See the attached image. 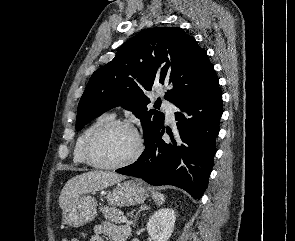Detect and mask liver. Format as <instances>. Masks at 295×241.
Returning <instances> with one entry per match:
<instances>
[{
	"label": "liver",
	"mask_w": 295,
	"mask_h": 241,
	"mask_svg": "<svg viewBox=\"0 0 295 241\" xmlns=\"http://www.w3.org/2000/svg\"><path fill=\"white\" fill-rule=\"evenodd\" d=\"M125 179L112 172L92 171L77 175L66 182L59 196V206L65 209L82 195L103 190Z\"/></svg>",
	"instance_id": "6515ba94"
}]
</instances>
